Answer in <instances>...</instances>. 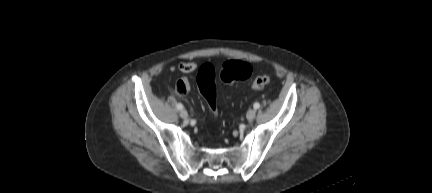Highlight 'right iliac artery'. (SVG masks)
Listing matches in <instances>:
<instances>
[{"mask_svg":"<svg viewBox=\"0 0 432 193\" xmlns=\"http://www.w3.org/2000/svg\"><path fill=\"white\" fill-rule=\"evenodd\" d=\"M176 107H177V109H179V110H182V109H183V105H182L181 103H178V104L176 105Z\"/></svg>","mask_w":432,"mask_h":193,"instance_id":"right-iliac-artery-1","label":"right iliac artery"}]
</instances>
